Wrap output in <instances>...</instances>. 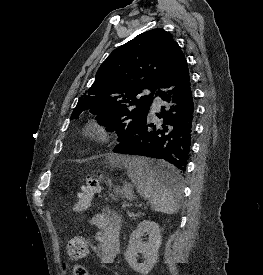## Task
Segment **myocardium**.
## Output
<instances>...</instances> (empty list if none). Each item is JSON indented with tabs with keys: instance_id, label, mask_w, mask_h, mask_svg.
I'll list each match as a JSON object with an SVG mask.
<instances>
[{
	"instance_id": "obj_1",
	"label": "myocardium",
	"mask_w": 263,
	"mask_h": 275,
	"mask_svg": "<svg viewBox=\"0 0 263 275\" xmlns=\"http://www.w3.org/2000/svg\"><path fill=\"white\" fill-rule=\"evenodd\" d=\"M89 131L92 138L101 142L106 141L110 135V132L107 126L97 120H93L92 122H90Z\"/></svg>"
}]
</instances>
